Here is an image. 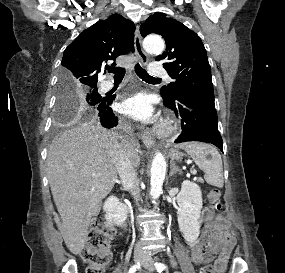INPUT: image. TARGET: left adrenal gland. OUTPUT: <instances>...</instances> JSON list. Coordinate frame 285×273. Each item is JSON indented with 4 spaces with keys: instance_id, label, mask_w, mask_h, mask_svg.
<instances>
[{
    "instance_id": "left-adrenal-gland-1",
    "label": "left adrenal gland",
    "mask_w": 285,
    "mask_h": 273,
    "mask_svg": "<svg viewBox=\"0 0 285 273\" xmlns=\"http://www.w3.org/2000/svg\"><path fill=\"white\" fill-rule=\"evenodd\" d=\"M170 168H171V171L169 173L170 176H172L176 172L181 173V169L178 166H176L174 163H171V167Z\"/></svg>"
}]
</instances>
